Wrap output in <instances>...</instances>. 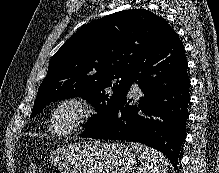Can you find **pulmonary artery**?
Instances as JSON below:
<instances>
[{
    "instance_id": "1",
    "label": "pulmonary artery",
    "mask_w": 219,
    "mask_h": 173,
    "mask_svg": "<svg viewBox=\"0 0 219 173\" xmlns=\"http://www.w3.org/2000/svg\"><path fill=\"white\" fill-rule=\"evenodd\" d=\"M133 89H134V90H137V88H136V87H134Z\"/></svg>"
}]
</instances>
